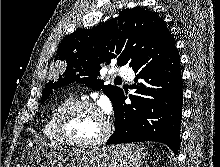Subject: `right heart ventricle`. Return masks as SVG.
<instances>
[{
	"label": "right heart ventricle",
	"instance_id": "obj_1",
	"mask_svg": "<svg viewBox=\"0 0 220 167\" xmlns=\"http://www.w3.org/2000/svg\"><path fill=\"white\" fill-rule=\"evenodd\" d=\"M73 100L72 97H66L65 99L58 102L56 105L53 106L51 109L47 119L44 122L42 133L44 137L49 140L50 142L56 143V144H63V142L58 138L55 129H54V123L55 118L59 112V110L66 105L68 102Z\"/></svg>",
	"mask_w": 220,
	"mask_h": 167
}]
</instances>
